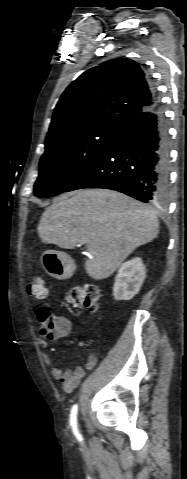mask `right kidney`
<instances>
[{
	"label": "right kidney",
	"mask_w": 187,
	"mask_h": 479,
	"mask_svg": "<svg viewBox=\"0 0 187 479\" xmlns=\"http://www.w3.org/2000/svg\"><path fill=\"white\" fill-rule=\"evenodd\" d=\"M146 277L141 258L136 257L121 265L115 277L113 296L117 301L131 300L140 290Z\"/></svg>",
	"instance_id": "right-kidney-1"
}]
</instances>
